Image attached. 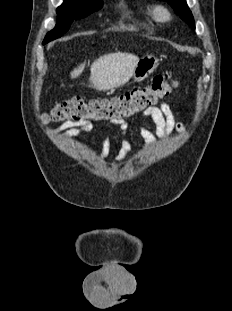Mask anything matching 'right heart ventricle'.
Wrapping results in <instances>:
<instances>
[{"label": "right heart ventricle", "instance_id": "right-heart-ventricle-1", "mask_svg": "<svg viewBox=\"0 0 232 311\" xmlns=\"http://www.w3.org/2000/svg\"><path fill=\"white\" fill-rule=\"evenodd\" d=\"M124 12L132 19V22L128 24V28L136 31H149L152 28L154 17L149 8L142 10L124 8Z\"/></svg>", "mask_w": 232, "mask_h": 311}]
</instances>
